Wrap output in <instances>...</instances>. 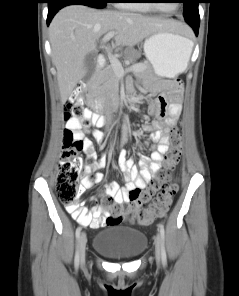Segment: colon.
<instances>
[{"mask_svg":"<svg viewBox=\"0 0 239 296\" xmlns=\"http://www.w3.org/2000/svg\"><path fill=\"white\" fill-rule=\"evenodd\" d=\"M86 110L79 104L70 100L66 104L64 119L67 122L76 121L79 128L89 126L88 119L85 117ZM171 149L166 158L168 171L162 174L149 189L136 191L134 198L128 205L131 219L141 225H147L152 220L162 215L172 204L174 195L177 192V184L173 180L172 172L177 165L183 144V134L179 128H173L171 133ZM85 149L83 138L76 136L68 127L63 136L61 161L58 165V175L56 186L61 201L76 219L87 220L88 215L78 206L80 193V173L82 170L81 152ZM90 152L93 149H89ZM93 159V157H89ZM89 179L95 181L94 173H90ZM149 203L147 208L144 207ZM101 205L108 213L106 225L120 223L123 220V207L110 197L102 198Z\"/></svg>","mask_w":239,"mask_h":296,"instance_id":"5ec220e1","label":"colon"}]
</instances>
